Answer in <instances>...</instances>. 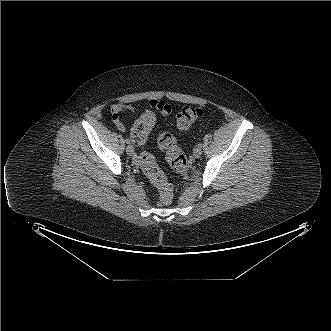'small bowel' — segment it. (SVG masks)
<instances>
[{
  "label": "small bowel",
  "instance_id": "c3829d8e",
  "mask_svg": "<svg viewBox=\"0 0 331 331\" xmlns=\"http://www.w3.org/2000/svg\"><path fill=\"white\" fill-rule=\"evenodd\" d=\"M149 106H150V108L158 111L159 113H161L162 115H165V116L171 114V112H172V106L161 99L151 100L149 102ZM127 111H130V112L134 111V107L127 103L118 102V103L113 104L110 108L112 121L114 122V124L117 126V128L120 131L126 130V127L122 123L120 116L122 113L127 112ZM141 155L138 157V160H140Z\"/></svg>",
  "mask_w": 331,
  "mask_h": 331
}]
</instances>
